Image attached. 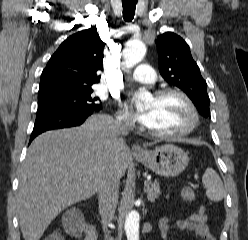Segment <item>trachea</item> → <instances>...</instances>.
Returning <instances> with one entry per match:
<instances>
[{
	"label": "trachea",
	"instance_id": "trachea-1",
	"mask_svg": "<svg viewBox=\"0 0 248 240\" xmlns=\"http://www.w3.org/2000/svg\"><path fill=\"white\" fill-rule=\"evenodd\" d=\"M137 0L122 1L123 6V18L126 22L132 21L135 15Z\"/></svg>",
	"mask_w": 248,
	"mask_h": 240
}]
</instances>
